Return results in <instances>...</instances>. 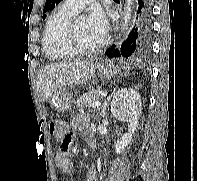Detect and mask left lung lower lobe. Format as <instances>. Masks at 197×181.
Segmentation results:
<instances>
[{
    "mask_svg": "<svg viewBox=\"0 0 197 181\" xmlns=\"http://www.w3.org/2000/svg\"><path fill=\"white\" fill-rule=\"evenodd\" d=\"M152 0H137L132 29L119 48H109L105 55L109 58L124 57L139 59L150 52L152 35Z\"/></svg>",
    "mask_w": 197,
    "mask_h": 181,
    "instance_id": "obj_1",
    "label": "left lung lower lobe"
}]
</instances>
